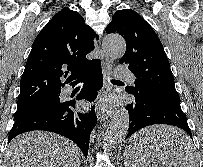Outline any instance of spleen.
I'll use <instances>...</instances> for the list:
<instances>
[{
  "label": "spleen",
  "instance_id": "3e777b00",
  "mask_svg": "<svg viewBox=\"0 0 203 167\" xmlns=\"http://www.w3.org/2000/svg\"><path fill=\"white\" fill-rule=\"evenodd\" d=\"M126 149L131 154V160H125L127 167H198L192 149L187 150L186 158L172 163L163 160L155 146L148 147L145 146V143H142L139 146L129 145ZM152 149L158 151L156 156L152 153Z\"/></svg>",
  "mask_w": 203,
  "mask_h": 167
}]
</instances>
